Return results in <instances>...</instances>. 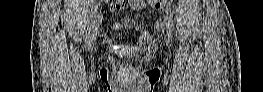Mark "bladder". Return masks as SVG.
Wrapping results in <instances>:
<instances>
[{"mask_svg": "<svg viewBox=\"0 0 263 92\" xmlns=\"http://www.w3.org/2000/svg\"><path fill=\"white\" fill-rule=\"evenodd\" d=\"M133 24V17H116L111 25L110 28L112 31L117 33H122L126 29H129Z\"/></svg>", "mask_w": 263, "mask_h": 92, "instance_id": "bladder-1", "label": "bladder"}]
</instances>
